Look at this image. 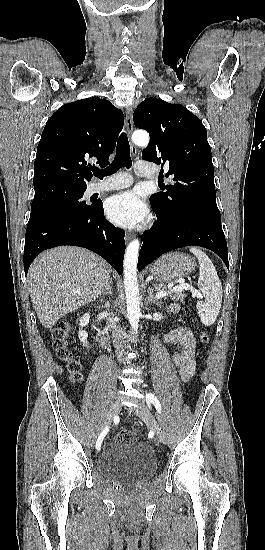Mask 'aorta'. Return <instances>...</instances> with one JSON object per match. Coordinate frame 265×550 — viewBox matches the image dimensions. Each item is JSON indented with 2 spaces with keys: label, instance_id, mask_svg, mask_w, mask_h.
I'll use <instances>...</instances> for the list:
<instances>
[{
  "label": "aorta",
  "instance_id": "1",
  "mask_svg": "<svg viewBox=\"0 0 265 550\" xmlns=\"http://www.w3.org/2000/svg\"><path fill=\"white\" fill-rule=\"evenodd\" d=\"M133 142L138 146H146L149 143V135L144 131H137L132 135ZM140 242L134 239L126 248L124 256V288L127 304V317L133 334L137 333L140 312V294L137 278V260Z\"/></svg>",
  "mask_w": 265,
  "mask_h": 550
}]
</instances>
